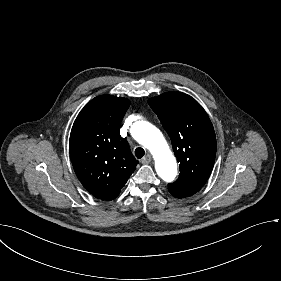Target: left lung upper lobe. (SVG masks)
<instances>
[{
	"mask_svg": "<svg viewBox=\"0 0 281 281\" xmlns=\"http://www.w3.org/2000/svg\"><path fill=\"white\" fill-rule=\"evenodd\" d=\"M148 103L170 136L180 175L168 188L171 194L187 197L198 192L213 169L216 137L201 105L181 92H166Z\"/></svg>",
	"mask_w": 281,
	"mask_h": 281,
	"instance_id": "5c2ea615",
	"label": "left lung upper lobe"
}]
</instances>
